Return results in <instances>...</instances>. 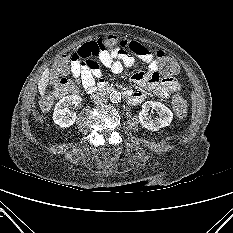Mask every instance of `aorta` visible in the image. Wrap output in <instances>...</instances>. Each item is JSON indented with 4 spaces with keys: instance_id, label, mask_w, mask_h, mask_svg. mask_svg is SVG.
<instances>
[{
    "instance_id": "762f6f07",
    "label": "aorta",
    "mask_w": 233,
    "mask_h": 233,
    "mask_svg": "<svg viewBox=\"0 0 233 233\" xmlns=\"http://www.w3.org/2000/svg\"><path fill=\"white\" fill-rule=\"evenodd\" d=\"M110 101L112 103H118L121 101V93L118 92V91H113L111 94H110Z\"/></svg>"
}]
</instances>
